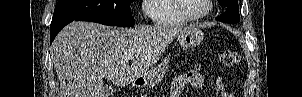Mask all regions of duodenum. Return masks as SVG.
<instances>
[{
  "mask_svg": "<svg viewBox=\"0 0 302 97\" xmlns=\"http://www.w3.org/2000/svg\"><path fill=\"white\" fill-rule=\"evenodd\" d=\"M141 83H142L141 80H137V81L135 82L136 85H141Z\"/></svg>",
  "mask_w": 302,
  "mask_h": 97,
  "instance_id": "1",
  "label": "duodenum"
}]
</instances>
